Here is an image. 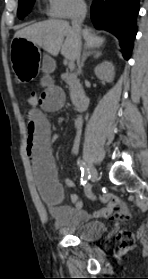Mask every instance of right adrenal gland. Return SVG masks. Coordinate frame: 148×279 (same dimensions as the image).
I'll use <instances>...</instances> for the list:
<instances>
[{
    "mask_svg": "<svg viewBox=\"0 0 148 279\" xmlns=\"http://www.w3.org/2000/svg\"><path fill=\"white\" fill-rule=\"evenodd\" d=\"M101 55H102V52L100 50H98V51L88 50L87 51V46H85L80 68L84 67V63L89 56H93L94 59H98L99 57H101Z\"/></svg>",
    "mask_w": 148,
    "mask_h": 279,
    "instance_id": "obj_1",
    "label": "right adrenal gland"
}]
</instances>
